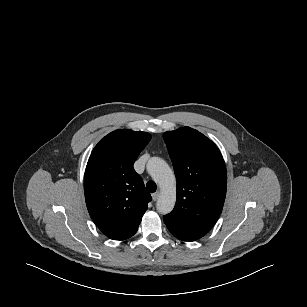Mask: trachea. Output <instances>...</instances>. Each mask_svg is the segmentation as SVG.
<instances>
[{
	"mask_svg": "<svg viewBox=\"0 0 307 307\" xmlns=\"http://www.w3.org/2000/svg\"><path fill=\"white\" fill-rule=\"evenodd\" d=\"M146 187L150 193H154L157 189V186L153 181H148Z\"/></svg>",
	"mask_w": 307,
	"mask_h": 307,
	"instance_id": "trachea-1",
	"label": "trachea"
}]
</instances>
